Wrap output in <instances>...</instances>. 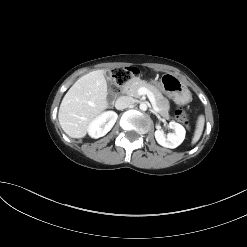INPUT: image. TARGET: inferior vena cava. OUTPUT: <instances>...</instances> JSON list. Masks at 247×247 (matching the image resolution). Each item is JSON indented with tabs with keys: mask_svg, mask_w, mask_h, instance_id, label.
I'll return each instance as SVG.
<instances>
[{
	"mask_svg": "<svg viewBox=\"0 0 247 247\" xmlns=\"http://www.w3.org/2000/svg\"><path fill=\"white\" fill-rule=\"evenodd\" d=\"M134 103V99L129 96H121L116 100L115 107L118 110H123L130 107Z\"/></svg>",
	"mask_w": 247,
	"mask_h": 247,
	"instance_id": "602c4592",
	"label": "inferior vena cava"
}]
</instances>
